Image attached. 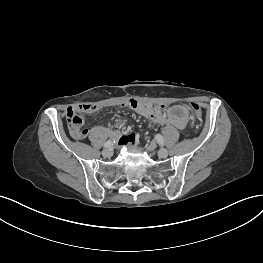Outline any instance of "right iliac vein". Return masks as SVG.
I'll return each instance as SVG.
<instances>
[{"mask_svg": "<svg viewBox=\"0 0 263 263\" xmlns=\"http://www.w3.org/2000/svg\"><path fill=\"white\" fill-rule=\"evenodd\" d=\"M112 154H113V152H112L111 149H104V150L102 151V155H103L104 157H107V158L111 157Z\"/></svg>", "mask_w": 263, "mask_h": 263, "instance_id": "obj_1", "label": "right iliac vein"}]
</instances>
